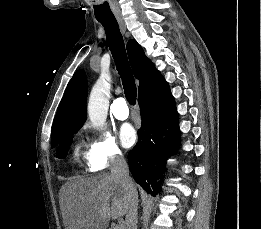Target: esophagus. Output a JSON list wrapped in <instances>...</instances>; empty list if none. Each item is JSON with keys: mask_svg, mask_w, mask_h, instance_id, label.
Returning <instances> with one entry per match:
<instances>
[{"mask_svg": "<svg viewBox=\"0 0 261 229\" xmlns=\"http://www.w3.org/2000/svg\"><path fill=\"white\" fill-rule=\"evenodd\" d=\"M115 16H116V19H117L121 32L123 34H125L126 33V22L124 20V17L122 15H115Z\"/></svg>", "mask_w": 261, "mask_h": 229, "instance_id": "1", "label": "esophagus"}]
</instances>
